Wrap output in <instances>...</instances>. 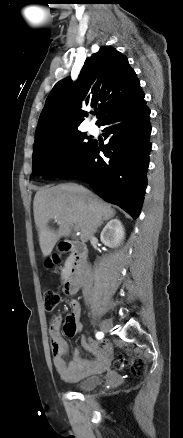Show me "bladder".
I'll return each mask as SVG.
<instances>
[{
    "mask_svg": "<svg viewBox=\"0 0 183 438\" xmlns=\"http://www.w3.org/2000/svg\"><path fill=\"white\" fill-rule=\"evenodd\" d=\"M100 380V376L97 375L83 378L76 384V389L80 391L92 390L99 385Z\"/></svg>",
    "mask_w": 183,
    "mask_h": 438,
    "instance_id": "1",
    "label": "bladder"
}]
</instances>
